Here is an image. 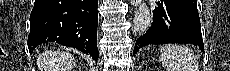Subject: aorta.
I'll use <instances>...</instances> for the list:
<instances>
[{
  "instance_id": "762f6f07",
  "label": "aorta",
  "mask_w": 230,
  "mask_h": 71,
  "mask_svg": "<svg viewBox=\"0 0 230 71\" xmlns=\"http://www.w3.org/2000/svg\"><path fill=\"white\" fill-rule=\"evenodd\" d=\"M152 24V14L150 9L145 5L141 4L135 13L133 19V30L137 33H145Z\"/></svg>"
}]
</instances>
